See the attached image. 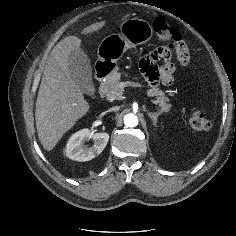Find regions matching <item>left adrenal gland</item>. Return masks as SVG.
I'll return each mask as SVG.
<instances>
[{"mask_svg": "<svg viewBox=\"0 0 236 236\" xmlns=\"http://www.w3.org/2000/svg\"><path fill=\"white\" fill-rule=\"evenodd\" d=\"M148 116L151 118L153 121V125L156 126L158 117L161 115V111L158 113H152V112H147Z\"/></svg>", "mask_w": 236, "mask_h": 236, "instance_id": "left-adrenal-gland-1", "label": "left adrenal gland"}]
</instances>
